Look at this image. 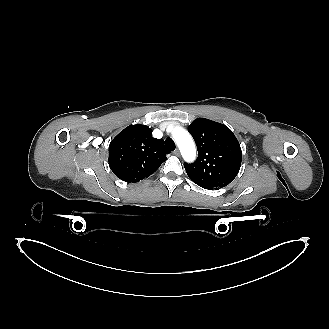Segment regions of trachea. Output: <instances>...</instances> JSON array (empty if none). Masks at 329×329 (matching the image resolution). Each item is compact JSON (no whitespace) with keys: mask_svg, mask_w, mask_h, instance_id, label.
I'll return each instance as SVG.
<instances>
[{"mask_svg":"<svg viewBox=\"0 0 329 329\" xmlns=\"http://www.w3.org/2000/svg\"><path fill=\"white\" fill-rule=\"evenodd\" d=\"M165 145L169 150H175V143L171 138L165 140Z\"/></svg>","mask_w":329,"mask_h":329,"instance_id":"trachea-1","label":"trachea"}]
</instances>
